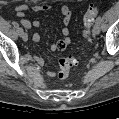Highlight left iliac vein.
<instances>
[{
    "mask_svg": "<svg viewBox=\"0 0 119 119\" xmlns=\"http://www.w3.org/2000/svg\"><path fill=\"white\" fill-rule=\"evenodd\" d=\"M99 33H100V23L96 22L93 26L92 34L93 35H98Z\"/></svg>",
    "mask_w": 119,
    "mask_h": 119,
    "instance_id": "1",
    "label": "left iliac vein"
}]
</instances>
